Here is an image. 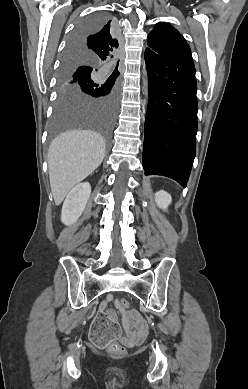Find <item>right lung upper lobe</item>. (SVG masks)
Segmentation results:
<instances>
[{
    "instance_id": "right-lung-upper-lobe-1",
    "label": "right lung upper lobe",
    "mask_w": 248,
    "mask_h": 389,
    "mask_svg": "<svg viewBox=\"0 0 248 389\" xmlns=\"http://www.w3.org/2000/svg\"><path fill=\"white\" fill-rule=\"evenodd\" d=\"M75 45L73 43L70 46ZM76 53L88 57V61L102 64L113 70L112 76L119 75L118 63L121 51L120 40L111 21L103 25L98 31L81 38L74 48ZM116 66V67H115Z\"/></svg>"
}]
</instances>
